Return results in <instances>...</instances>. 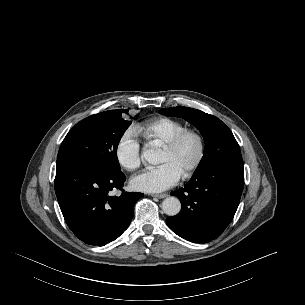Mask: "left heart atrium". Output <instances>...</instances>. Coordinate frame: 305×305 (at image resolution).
Returning <instances> with one entry per match:
<instances>
[{
  "mask_svg": "<svg viewBox=\"0 0 305 305\" xmlns=\"http://www.w3.org/2000/svg\"><path fill=\"white\" fill-rule=\"evenodd\" d=\"M182 173L171 163L145 170L131 179V186L138 191L158 193L175 186Z\"/></svg>",
  "mask_w": 305,
  "mask_h": 305,
  "instance_id": "obj_1",
  "label": "left heart atrium"
}]
</instances>
